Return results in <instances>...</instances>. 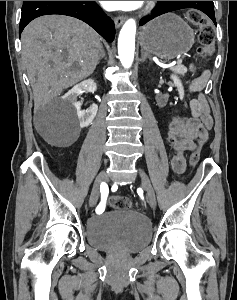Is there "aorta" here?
Segmentation results:
<instances>
[{
  "label": "aorta",
  "instance_id": "762f6f07",
  "mask_svg": "<svg viewBox=\"0 0 237 300\" xmlns=\"http://www.w3.org/2000/svg\"><path fill=\"white\" fill-rule=\"evenodd\" d=\"M135 35L136 23L134 19H128L118 37V55L125 69H130L134 61Z\"/></svg>",
  "mask_w": 237,
  "mask_h": 300
}]
</instances>
